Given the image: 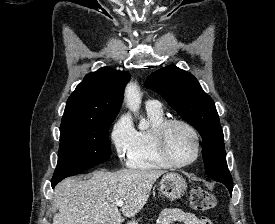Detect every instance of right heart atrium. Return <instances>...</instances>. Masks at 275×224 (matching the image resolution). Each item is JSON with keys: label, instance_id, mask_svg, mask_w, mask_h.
<instances>
[{"label": "right heart atrium", "instance_id": "d8ad5b80", "mask_svg": "<svg viewBox=\"0 0 275 224\" xmlns=\"http://www.w3.org/2000/svg\"><path fill=\"white\" fill-rule=\"evenodd\" d=\"M135 128L127 115H122L115 122L111 130V142L117 156L126 159L133 148L135 140Z\"/></svg>", "mask_w": 275, "mask_h": 224}]
</instances>
